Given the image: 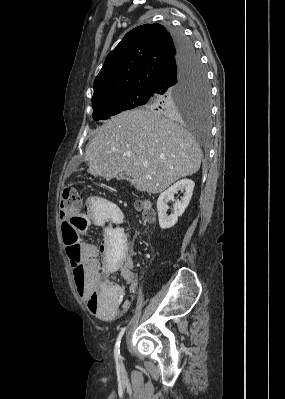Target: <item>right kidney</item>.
<instances>
[{"label":"right kidney","instance_id":"right-kidney-1","mask_svg":"<svg viewBox=\"0 0 285 399\" xmlns=\"http://www.w3.org/2000/svg\"><path fill=\"white\" fill-rule=\"evenodd\" d=\"M195 183L191 179H182L168 188L166 191L160 194L157 200V210H158V218L159 225L161 229H168L173 227L177 221L178 217H180L185 209L187 208L194 189ZM183 191L184 195L180 201L174 202V195L178 191ZM173 201V210L174 213L170 216H167L166 212L168 209L167 202Z\"/></svg>","mask_w":285,"mask_h":399}]
</instances>
